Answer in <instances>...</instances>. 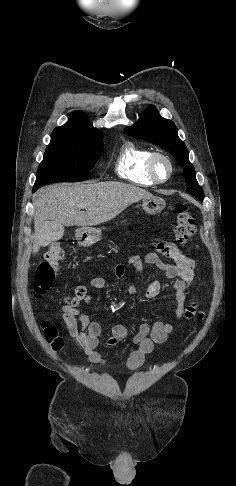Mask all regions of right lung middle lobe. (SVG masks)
<instances>
[{
  "mask_svg": "<svg viewBox=\"0 0 236 486\" xmlns=\"http://www.w3.org/2000/svg\"><path fill=\"white\" fill-rule=\"evenodd\" d=\"M103 146L102 141L52 137L39 165L33 192L50 183L87 180L88 172L103 153Z\"/></svg>",
  "mask_w": 236,
  "mask_h": 486,
  "instance_id": "dd1d6c3e",
  "label": "right lung middle lobe"
}]
</instances>
